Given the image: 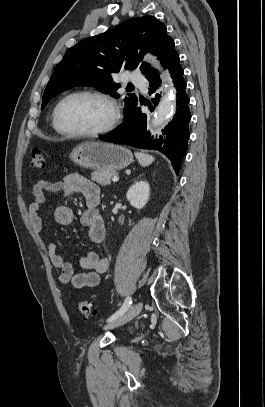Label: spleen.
Instances as JSON below:
<instances>
[{
    "label": "spleen",
    "instance_id": "1",
    "mask_svg": "<svg viewBox=\"0 0 265 407\" xmlns=\"http://www.w3.org/2000/svg\"><path fill=\"white\" fill-rule=\"evenodd\" d=\"M135 156L139 161L140 165L146 167L154 161V157L143 152H135Z\"/></svg>",
    "mask_w": 265,
    "mask_h": 407
}]
</instances>
